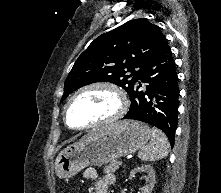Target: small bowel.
<instances>
[{"label": "small bowel", "mask_w": 221, "mask_h": 193, "mask_svg": "<svg viewBox=\"0 0 221 193\" xmlns=\"http://www.w3.org/2000/svg\"><path fill=\"white\" fill-rule=\"evenodd\" d=\"M86 180H94L95 193H108L109 186L115 182L112 174L107 173L101 179H97V172L94 168H88L83 172Z\"/></svg>", "instance_id": "obj_1"}]
</instances>
